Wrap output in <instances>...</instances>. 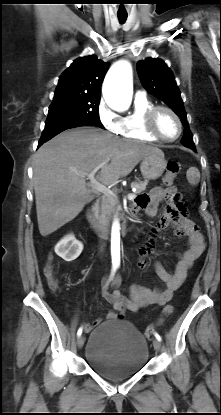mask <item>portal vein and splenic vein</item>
I'll list each match as a JSON object with an SVG mask.
<instances>
[{"label":"portal vein and splenic vein","instance_id":"portal-vein-and-splenic-vein-1","mask_svg":"<svg viewBox=\"0 0 221 415\" xmlns=\"http://www.w3.org/2000/svg\"><path fill=\"white\" fill-rule=\"evenodd\" d=\"M107 162L99 165L98 167H96L91 173L89 174H85L87 177L90 178L91 180V187L94 188L95 190L102 192L103 194H110V195H114V192L112 190H110L109 188H107L105 185H103L102 183L98 182L97 180L94 179V175L95 173L101 168L103 167ZM135 195L133 193H129L127 194V198L128 199H132L134 198Z\"/></svg>","mask_w":221,"mask_h":415}]
</instances>
